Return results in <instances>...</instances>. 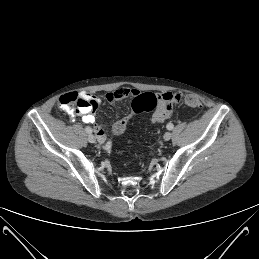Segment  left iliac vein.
<instances>
[{
  "label": "left iliac vein",
  "mask_w": 259,
  "mask_h": 259,
  "mask_svg": "<svg viewBox=\"0 0 259 259\" xmlns=\"http://www.w3.org/2000/svg\"><path fill=\"white\" fill-rule=\"evenodd\" d=\"M163 137H164L165 141H168L171 138V133L170 132H166Z\"/></svg>",
  "instance_id": "4c4485c4"
}]
</instances>
